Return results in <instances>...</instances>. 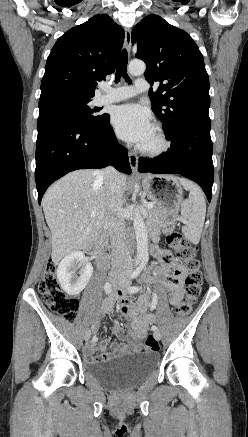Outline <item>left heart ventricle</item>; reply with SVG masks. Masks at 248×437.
<instances>
[{
  "label": "left heart ventricle",
  "mask_w": 248,
  "mask_h": 437,
  "mask_svg": "<svg viewBox=\"0 0 248 437\" xmlns=\"http://www.w3.org/2000/svg\"><path fill=\"white\" fill-rule=\"evenodd\" d=\"M145 147L153 148L158 145V140L156 137V134L153 130V132L150 134V136L141 144Z\"/></svg>",
  "instance_id": "b2bd125f"
}]
</instances>
